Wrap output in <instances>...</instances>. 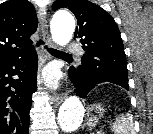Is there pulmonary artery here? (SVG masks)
<instances>
[{"mask_svg": "<svg viewBox=\"0 0 153 134\" xmlns=\"http://www.w3.org/2000/svg\"><path fill=\"white\" fill-rule=\"evenodd\" d=\"M68 52L69 53H77V54H82L83 53V50L82 48L76 44V43H71L69 46H68Z\"/></svg>", "mask_w": 153, "mask_h": 134, "instance_id": "e3ab8cb5", "label": "pulmonary artery"}]
</instances>
